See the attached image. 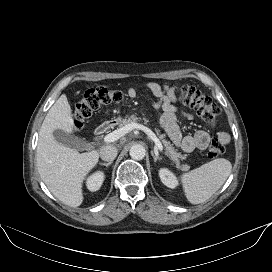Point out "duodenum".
Returning <instances> with one entry per match:
<instances>
[{"label":"duodenum","instance_id":"obj_1","mask_svg":"<svg viewBox=\"0 0 272 272\" xmlns=\"http://www.w3.org/2000/svg\"><path fill=\"white\" fill-rule=\"evenodd\" d=\"M114 126L113 121H106L102 124H100L96 130H95V135L97 137H103L112 127Z\"/></svg>","mask_w":272,"mask_h":272}]
</instances>
